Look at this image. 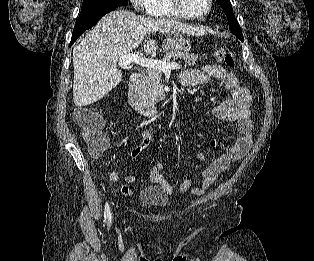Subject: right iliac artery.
<instances>
[{
  "label": "right iliac artery",
  "instance_id": "obj_1",
  "mask_svg": "<svg viewBox=\"0 0 314 261\" xmlns=\"http://www.w3.org/2000/svg\"><path fill=\"white\" fill-rule=\"evenodd\" d=\"M104 213H105V215L107 217L108 224H110L111 220H112V216H111L110 207H109L108 202H106V204H105Z\"/></svg>",
  "mask_w": 314,
  "mask_h": 261
}]
</instances>
